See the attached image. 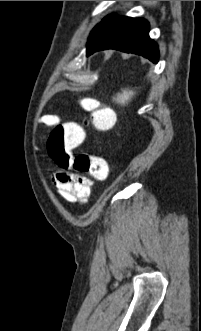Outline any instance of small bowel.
<instances>
[{
  "label": "small bowel",
  "mask_w": 201,
  "mask_h": 331,
  "mask_svg": "<svg viewBox=\"0 0 201 331\" xmlns=\"http://www.w3.org/2000/svg\"><path fill=\"white\" fill-rule=\"evenodd\" d=\"M59 122V116L53 114L44 115L39 120V124L44 127H53ZM52 181L58 193L67 202L85 203L90 196L92 180L85 175L74 174L62 169L53 174Z\"/></svg>",
  "instance_id": "1"
}]
</instances>
